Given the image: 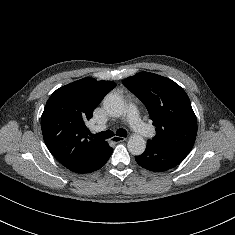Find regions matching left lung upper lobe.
Listing matches in <instances>:
<instances>
[{
	"label": "left lung upper lobe",
	"instance_id": "left-lung-upper-lobe-1",
	"mask_svg": "<svg viewBox=\"0 0 235 235\" xmlns=\"http://www.w3.org/2000/svg\"><path fill=\"white\" fill-rule=\"evenodd\" d=\"M147 107L156 126L150 142L190 152L197 134L196 116L189 97L174 81L140 72L122 82Z\"/></svg>",
	"mask_w": 235,
	"mask_h": 235
}]
</instances>
